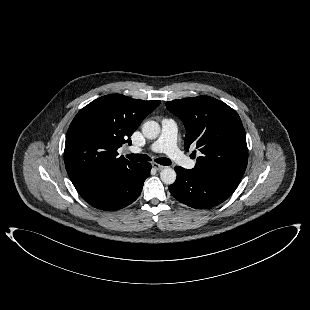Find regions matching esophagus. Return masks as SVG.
Returning a JSON list of instances; mask_svg holds the SVG:
<instances>
[{
  "label": "esophagus",
  "instance_id": "34e87169",
  "mask_svg": "<svg viewBox=\"0 0 310 310\" xmlns=\"http://www.w3.org/2000/svg\"><path fill=\"white\" fill-rule=\"evenodd\" d=\"M152 167H153L154 169L158 170V171L163 170L164 168H166L165 166L160 165V164H157V163H153V164H152Z\"/></svg>",
  "mask_w": 310,
  "mask_h": 310
}]
</instances>
